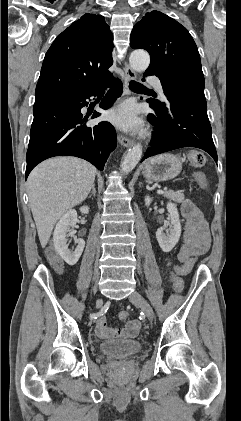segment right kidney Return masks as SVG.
Listing matches in <instances>:
<instances>
[{
    "instance_id": "right-kidney-1",
    "label": "right kidney",
    "mask_w": 241,
    "mask_h": 421,
    "mask_svg": "<svg viewBox=\"0 0 241 421\" xmlns=\"http://www.w3.org/2000/svg\"><path fill=\"white\" fill-rule=\"evenodd\" d=\"M80 211L83 214H88L89 207L82 206ZM76 222L77 211L71 209L60 218L53 233L55 250L62 257V259L71 266L78 262L85 247V241L83 239L74 238L75 244H77L76 248L72 250L68 248L67 237L73 234L71 228L75 226Z\"/></svg>"
}]
</instances>
